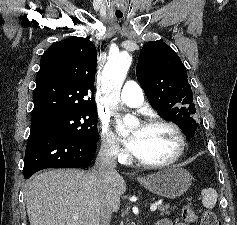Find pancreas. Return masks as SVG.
<instances>
[{"instance_id": "cf45deb5", "label": "pancreas", "mask_w": 237, "mask_h": 225, "mask_svg": "<svg viewBox=\"0 0 237 225\" xmlns=\"http://www.w3.org/2000/svg\"><path fill=\"white\" fill-rule=\"evenodd\" d=\"M176 206L170 207V204L168 203H161L158 205V211L160 215L167 214L169 215L172 210H174Z\"/></svg>"}]
</instances>
